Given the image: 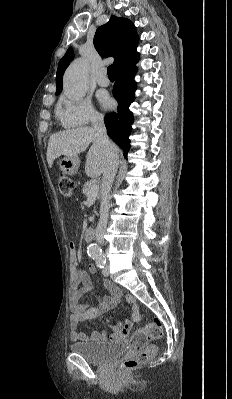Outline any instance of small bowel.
Masks as SVG:
<instances>
[{"instance_id":"obj_1","label":"small bowel","mask_w":232,"mask_h":399,"mask_svg":"<svg viewBox=\"0 0 232 399\" xmlns=\"http://www.w3.org/2000/svg\"><path fill=\"white\" fill-rule=\"evenodd\" d=\"M76 259L77 247L74 242H71L69 244V340L71 342L85 343L87 338L86 335L79 330L80 323L99 316L106 309L113 308L119 302L121 293L115 290L109 279L104 278L102 280L103 287L114 292V296L104 297L95 304L88 302L81 303L80 299L83 295V291L80 288V284L90 283L93 277L99 275V270L96 267H92L87 273L76 265ZM126 301L132 307L134 321H140L141 311L136 302V298L132 294H127ZM110 328L112 331L109 337L117 338L123 333L130 332L132 330V325L129 322L123 324L113 322L110 324ZM101 337V333L96 331L92 332V338L94 340H99Z\"/></svg>"}]
</instances>
